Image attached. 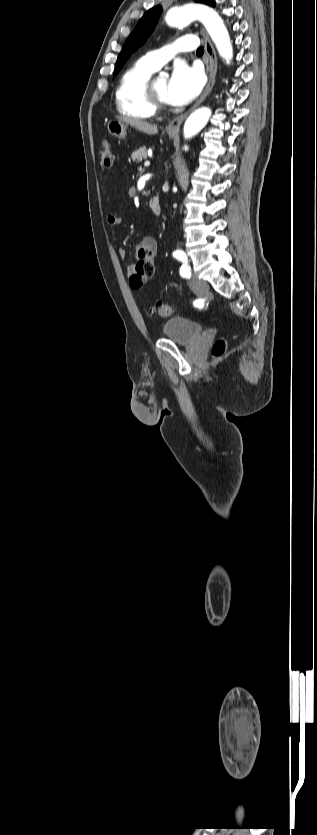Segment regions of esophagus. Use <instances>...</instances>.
<instances>
[{
    "label": "esophagus",
    "mask_w": 317,
    "mask_h": 835,
    "mask_svg": "<svg viewBox=\"0 0 317 835\" xmlns=\"http://www.w3.org/2000/svg\"><path fill=\"white\" fill-rule=\"evenodd\" d=\"M201 32H202V36H203V39H204V46H205V53H206L208 82H207V85H206L205 89L203 90L202 94L197 99V101L194 103V105L188 111H186L184 114L176 117L175 119H173L168 124L166 129L170 133H178L179 132L181 124L183 123V121L188 117V115L193 110H195L206 99V97L209 95V93L211 92V90H212V88L215 84L216 73H217L216 52H215L214 47L211 43V40L209 38L208 33L203 28L201 29Z\"/></svg>",
    "instance_id": "34e87169"
}]
</instances>
